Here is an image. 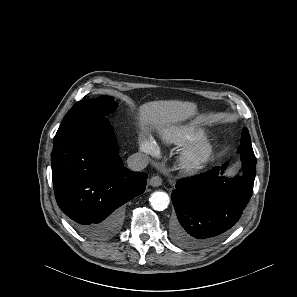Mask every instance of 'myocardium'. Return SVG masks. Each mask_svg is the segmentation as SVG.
<instances>
[{
    "instance_id": "1",
    "label": "myocardium",
    "mask_w": 297,
    "mask_h": 297,
    "mask_svg": "<svg viewBox=\"0 0 297 297\" xmlns=\"http://www.w3.org/2000/svg\"><path fill=\"white\" fill-rule=\"evenodd\" d=\"M214 153L213 144L201 139L187 148L180 156L181 167L188 172H194L202 168Z\"/></svg>"
}]
</instances>
